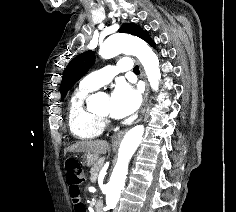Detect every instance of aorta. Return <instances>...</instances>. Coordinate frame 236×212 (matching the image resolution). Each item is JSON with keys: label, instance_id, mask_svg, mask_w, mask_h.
<instances>
[{"label": "aorta", "instance_id": "762f6f07", "mask_svg": "<svg viewBox=\"0 0 236 212\" xmlns=\"http://www.w3.org/2000/svg\"><path fill=\"white\" fill-rule=\"evenodd\" d=\"M121 53L136 56L144 67L150 86L157 91L161 73L159 59L150 46L143 40L129 34L119 33L109 36L101 45L99 54L104 59L113 58ZM104 97L102 93L92 94L87 99L89 107L96 106ZM144 133V127L137 125L131 128L123 137L117 163L113 169L109 182L104 188L106 208L114 211L120 199V194L125 185L128 165L131 157L138 148Z\"/></svg>", "mask_w": 236, "mask_h": 212}]
</instances>
